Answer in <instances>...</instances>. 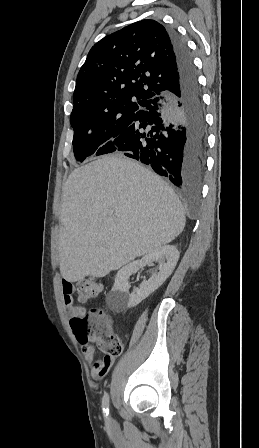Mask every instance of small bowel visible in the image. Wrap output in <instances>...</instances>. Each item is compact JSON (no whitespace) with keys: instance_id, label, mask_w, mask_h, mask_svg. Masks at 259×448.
<instances>
[{"instance_id":"small-bowel-1","label":"small bowel","mask_w":259,"mask_h":448,"mask_svg":"<svg viewBox=\"0 0 259 448\" xmlns=\"http://www.w3.org/2000/svg\"><path fill=\"white\" fill-rule=\"evenodd\" d=\"M74 287L68 280H62V291L64 295V302L67 308L71 321L75 318L85 315V309L82 306H78L74 303L72 298ZM83 354L88 363H93L91 369V377L94 380H99L107 375L113 362L114 357L104 356L102 359L95 361V349L89 344L83 345Z\"/></svg>"}]
</instances>
